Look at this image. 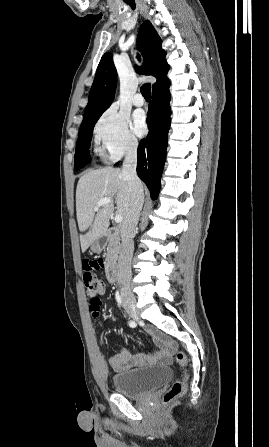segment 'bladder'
I'll return each instance as SVG.
<instances>
[{
	"label": "bladder",
	"mask_w": 269,
	"mask_h": 447,
	"mask_svg": "<svg viewBox=\"0 0 269 447\" xmlns=\"http://www.w3.org/2000/svg\"><path fill=\"white\" fill-rule=\"evenodd\" d=\"M172 376V370L167 365L147 366L112 374L111 385L115 392L125 396L142 397L145 392L154 391L172 379Z\"/></svg>",
	"instance_id": "31cf9c89"
}]
</instances>
